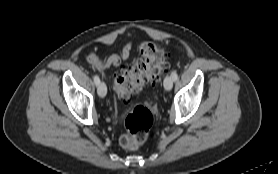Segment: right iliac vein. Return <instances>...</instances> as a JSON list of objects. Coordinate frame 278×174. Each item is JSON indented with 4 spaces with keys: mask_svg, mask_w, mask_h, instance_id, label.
Masks as SVG:
<instances>
[{
    "mask_svg": "<svg viewBox=\"0 0 278 174\" xmlns=\"http://www.w3.org/2000/svg\"><path fill=\"white\" fill-rule=\"evenodd\" d=\"M97 92L100 97H105L107 94V87L105 83L101 82L97 87Z\"/></svg>",
    "mask_w": 278,
    "mask_h": 174,
    "instance_id": "63e3f726",
    "label": "right iliac vein"
}]
</instances>
